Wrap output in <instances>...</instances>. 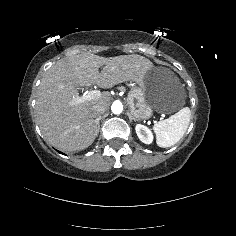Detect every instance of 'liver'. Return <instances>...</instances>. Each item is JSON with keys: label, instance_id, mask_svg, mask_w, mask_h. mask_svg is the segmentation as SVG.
I'll list each match as a JSON object with an SVG mask.
<instances>
[{"label": "liver", "instance_id": "1", "mask_svg": "<svg viewBox=\"0 0 236 236\" xmlns=\"http://www.w3.org/2000/svg\"><path fill=\"white\" fill-rule=\"evenodd\" d=\"M152 67L149 59L138 54L105 58L82 53L57 61L45 71L38 87L35 113L42 135L60 151L89 147L97 130L93 106L106 109L110 93L104 91L99 98L75 104L77 85L112 88L126 81L141 83Z\"/></svg>", "mask_w": 236, "mask_h": 236}]
</instances>
